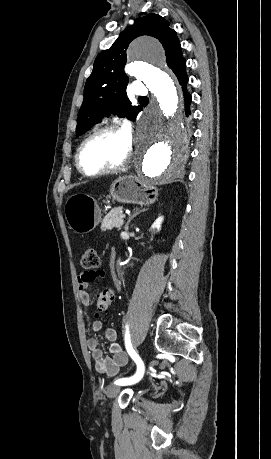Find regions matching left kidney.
<instances>
[{
	"label": "left kidney",
	"instance_id": "5707ae66",
	"mask_svg": "<svg viewBox=\"0 0 271 459\" xmlns=\"http://www.w3.org/2000/svg\"><path fill=\"white\" fill-rule=\"evenodd\" d=\"M162 222H163V216H159V218L155 220L154 224H152L150 231H152V233H156V231H160Z\"/></svg>",
	"mask_w": 271,
	"mask_h": 459
}]
</instances>
